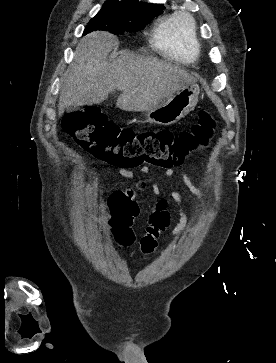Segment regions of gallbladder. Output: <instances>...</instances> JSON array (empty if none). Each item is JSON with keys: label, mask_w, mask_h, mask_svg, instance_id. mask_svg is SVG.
<instances>
[{"label": "gallbladder", "mask_w": 276, "mask_h": 363, "mask_svg": "<svg viewBox=\"0 0 276 363\" xmlns=\"http://www.w3.org/2000/svg\"><path fill=\"white\" fill-rule=\"evenodd\" d=\"M69 111H73V110H75V107H69V108H67Z\"/></svg>", "instance_id": "obj_1"}]
</instances>
